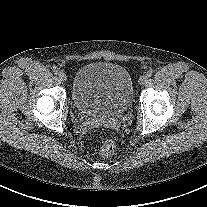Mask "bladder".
<instances>
[{
	"label": "bladder",
	"mask_w": 207,
	"mask_h": 207,
	"mask_svg": "<svg viewBox=\"0 0 207 207\" xmlns=\"http://www.w3.org/2000/svg\"><path fill=\"white\" fill-rule=\"evenodd\" d=\"M72 99L84 116L106 117L125 112L133 99L129 72L111 62H91L75 74Z\"/></svg>",
	"instance_id": "obj_1"
}]
</instances>
